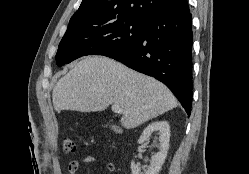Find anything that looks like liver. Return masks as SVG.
<instances>
[{
    "label": "liver",
    "mask_w": 249,
    "mask_h": 174,
    "mask_svg": "<svg viewBox=\"0 0 249 174\" xmlns=\"http://www.w3.org/2000/svg\"><path fill=\"white\" fill-rule=\"evenodd\" d=\"M57 111H103L111 104L123 110L121 125L133 129L177 106L172 92L161 82L107 58L88 56L55 85Z\"/></svg>",
    "instance_id": "liver-1"
}]
</instances>
